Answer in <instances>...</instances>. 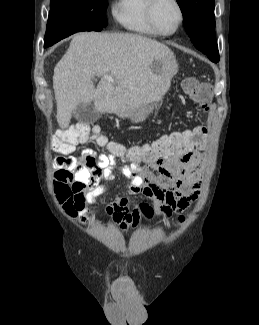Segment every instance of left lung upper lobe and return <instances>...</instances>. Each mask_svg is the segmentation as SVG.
<instances>
[{"instance_id": "left-lung-upper-lobe-1", "label": "left lung upper lobe", "mask_w": 259, "mask_h": 325, "mask_svg": "<svg viewBox=\"0 0 259 325\" xmlns=\"http://www.w3.org/2000/svg\"><path fill=\"white\" fill-rule=\"evenodd\" d=\"M183 17L184 27L194 46L213 62L219 61L215 36V0H177Z\"/></svg>"}]
</instances>
